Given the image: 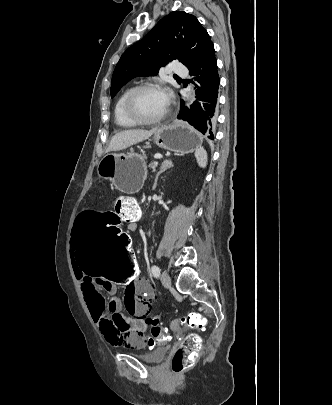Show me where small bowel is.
<instances>
[{"instance_id": "c3829d8e", "label": "small bowel", "mask_w": 332, "mask_h": 405, "mask_svg": "<svg viewBox=\"0 0 332 405\" xmlns=\"http://www.w3.org/2000/svg\"><path fill=\"white\" fill-rule=\"evenodd\" d=\"M127 222L129 230H136V223L130 217ZM70 256L89 312L108 343L133 347L135 353H144L141 344L147 340L139 338V334L150 326L145 324V317L150 302L156 300V289L151 288L145 280L132 282L131 287H126L122 301L113 281H100L97 275H83V268L76 262L73 246L70 247ZM102 289L108 293V299L101 294ZM122 310L127 311L131 317H126Z\"/></svg>"}]
</instances>
